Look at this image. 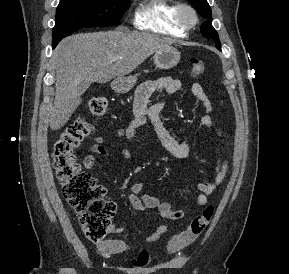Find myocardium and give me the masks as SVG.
Masks as SVG:
<instances>
[{
	"instance_id": "1",
	"label": "myocardium",
	"mask_w": 289,
	"mask_h": 274,
	"mask_svg": "<svg viewBox=\"0 0 289 274\" xmlns=\"http://www.w3.org/2000/svg\"><path fill=\"white\" fill-rule=\"evenodd\" d=\"M174 20L184 30H190L197 25L199 17L196 9L186 3L178 4L174 12Z\"/></svg>"
}]
</instances>
